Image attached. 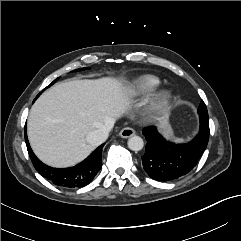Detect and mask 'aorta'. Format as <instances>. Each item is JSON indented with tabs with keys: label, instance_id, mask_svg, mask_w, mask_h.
Listing matches in <instances>:
<instances>
[{
	"label": "aorta",
	"instance_id": "aorta-1",
	"mask_svg": "<svg viewBox=\"0 0 241 241\" xmlns=\"http://www.w3.org/2000/svg\"><path fill=\"white\" fill-rule=\"evenodd\" d=\"M128 148L132 151H140L144 146V141L140 136L134 135L128 139Z\"/></svg>",
	"mask_w": 241,
	"mask_h": 241
}]
</instances>
